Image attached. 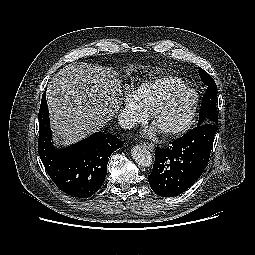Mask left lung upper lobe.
<instances>
[{
  "mask_svg": "<svg viewBox=\"0 0 255 255\" xmlns=\"http://www.w3.org/2000/svg\"><path fill=\"white\" fill-rule=\"evenodd\" d=\"M199 75L201 80L208 87L202 99L199 122L197 126L206 123L216 124L218 121V113L216 108L217 85L212 77L202 68H199Z\"/></svg>",
  "mask_w": 255,
  "mask_h": 255,
  "instance_id": "1",
  "label": "left lung upper lobe"
}]
</instances>
